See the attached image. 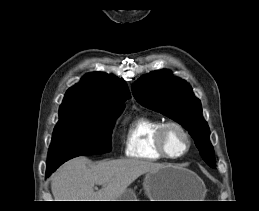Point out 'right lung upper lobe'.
Masks as SVG:
<instances>
[{"label":"right lung upper lobe","instance_id":"1","mask_svg":"<svg viewBox=\"0 0 259 211\" xmlns=\"http://www.w3.org/2000/svg\"><path fill=\"white\" fill-rule=\"evenodd\" d=\"M131 95L124 82L105 73L86 74L65 94L59 115L83 110L87 112H121L125 99Z\"/></svg>","mask_w":259,"mask_h":211}]
</instances>
